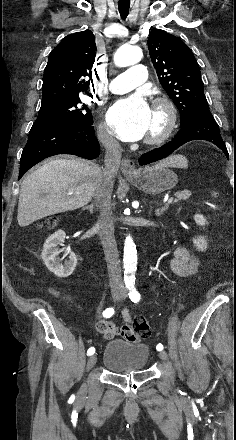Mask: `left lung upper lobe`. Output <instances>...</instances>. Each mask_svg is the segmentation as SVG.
I'll use <instances>...</instances> for the list:
<instances>
[{
	"label": "left lung upper lobe",
	"instance_id": "1",
	"mask_svg": "<svg viewBox=\"0 0 236 440\" xmlns=\"http://www.w3.org/2000/svg\"><path fill=\"white\" fill-rule=\"evenodd\" d=\"M148 49L162 87L179 109L181 126L198 112L209 110L200 68L191 49L180 38L160 29L150 32Z\"/></svg>",
	"mask_w": 236,
	"mask_h": 440
}]
</instances>
